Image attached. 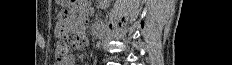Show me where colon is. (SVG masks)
I'll use <instances>...</instances> for the list:
<instances>
[{
	"label": "colon",
	"mask_w": 232,
	"mask_h": 65,
	"mask_svg": "<svg viewBox=\"0 0 232 65\" xmlns=\"http://www.w3.org/2000/svg\"><path fill=\"white\" fill-rule=\"evenodd\" d=\"M71 53V47L69 44H64V41H58L55 49V58L57 62L65 61Z\"/></svg>",
	"instance_id": "obj_1"
}]
</instances>
